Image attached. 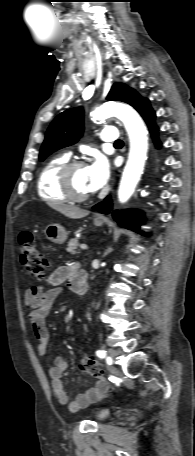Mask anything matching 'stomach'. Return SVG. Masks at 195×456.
<instances>
[{
    "mask_svg": "<svg viewBox=\"0 0 195 456\" xmlns=\"http://www.w3.org/2000/svg\"><path fill=\"white\" fill-rule=\"evenodd\" d=\"M104 224V221L102 219H94V225L97 227H101ZM45 234L47 238L55 243L62 244L65 242L67 239L68 233L59 224H50L46 227L45 229Z\"/></svg>",
    "mask_w": 195,
    "mask_h": 456,
    "instance_id": "obj_1",
    "label": "stomach"
}]
</instances>
